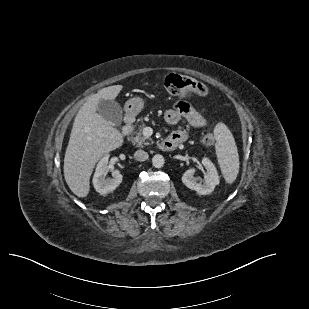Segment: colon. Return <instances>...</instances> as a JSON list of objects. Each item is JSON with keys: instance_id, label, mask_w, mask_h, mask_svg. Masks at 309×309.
<instances>
[{"instance_id": "obj_1", "label": "colon", "mask_w": 309, "mask_h": 309, "mask_svg": "<svg viewBox=\"0 0 309 309\" xmlns=\"http://www.w3.org/2000/svg\"><path fill=\"white\" fill-rule=\"evenodd\" d=\"M165 87L169 93L178 98H189L193 95L205 96L207 89L202 84L179 74H171L165 79ZM203 143L210 146L214 143L212 134H207L202 139Z\"/></svg>"}]
</instances>
